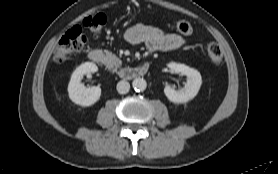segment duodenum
<instances>
[{"mask_svg": "<svg viewBox=\"0 0 278 174\" xmlns=\"http://www.w3.org/2000/svg\"><path fill=\"white\" fill-rule=\"evenodd\" d=\"M88 58L94 63H101L103 54L100 50L93 49L88 53ZM148 71V64L145 63L138 67H125L119 71V76L123 79H135L144 76Z\"/></svg>", "mask_w": 278, "mask_h": 174, "instance_id": "duodenum-1", "label": "duodenum"}]
</instances>
